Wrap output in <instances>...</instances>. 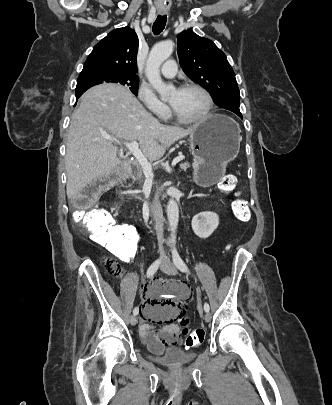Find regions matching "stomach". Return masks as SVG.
<instances>
[{
    "label": "stomach",
    "instance_id": "obj_1",
    "mask_svg": "<svg viewBox=\"0 0 332 405\" xmlns=\"http://www.w3.org/2000/svg\"><path fill=\"white\" fill-rule=\"evenodd\" d=\"M241 140L238 124L225 115H209L196 124L189 137L195 180L205 186L215 184L238 155Z\"/></svg>",
    "mask_w": 332,
    "mask_h": 405
}]
</instances>
